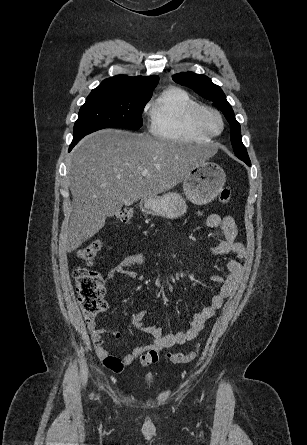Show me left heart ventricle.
Wrapping results in <instances>:
<instances>
[{
  "label": "left heart ventricle",
  "instance_id": "1",
  "mask_svg": "<svg viewBox=\"0 0 307 445\" xmlns=\"http://www.w3.org/2000/svg\"><path fill=\"white\" fill-rule=\"evenodd\" d=\"M213 128L216 132H220L222 130V123L219 119L213 120Z\"/></svg>",
  "mask_w": 307,
  "mask_h": 445
}]
</instances>
